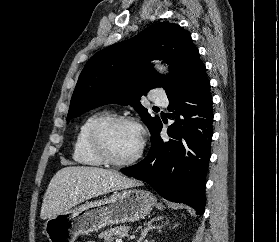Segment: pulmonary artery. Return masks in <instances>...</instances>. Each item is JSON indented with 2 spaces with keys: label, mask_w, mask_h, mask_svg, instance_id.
<instances>
[{
  "label": "pulmonary artery",
  "mask_w": 279,
  "mask_h": 242,
  "mask_svg": "<svg viewBox=\"0 0 279 242\" xmlns=\"http://www.w3.org/2000/svg\"><path fill=\"white\" fill-rule=\"evenodd\" d=\"M152 101L159 106H166L168 103V98L161 90H155L152 96Z\"/></svg>",
  "instance_id": "1"
}]
</instances>
